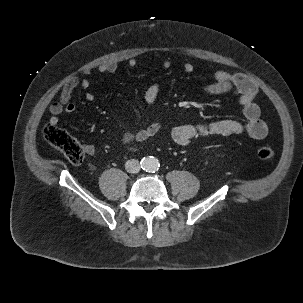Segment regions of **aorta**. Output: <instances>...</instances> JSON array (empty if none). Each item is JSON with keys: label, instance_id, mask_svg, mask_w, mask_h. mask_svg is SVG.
Returning a JSON list of instances; mask_svg holds the SVG:
<instances>
[{"label": "aorta", "instance_id": "obj_1", "mask_svg": "<svg viewBox=\"0 0 303 303\" xmlns=\"http://www.w3.org/2000/svg\"><path fill=\"white\" fill-rule=\"evenodd\" d=\"M141 164L143 169L147 172H155L160 167L159 160L153 156L143 158Z\"/></svg>", "mask_w": 303, "mask_h": 303}]
</instances>
